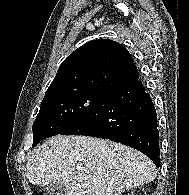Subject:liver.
I'll return each mask as SVG.
<instances>
[{"mask_svg":"<svg viewBox=\"0 0 189 195\" xmlns=\"http://www.w3.org/2000/svg\"><path fill=\"white\" fill-rule=\"evenodd\" d=\"M25 175L38 186L62 183L66 195H120L153 181L157 170L147 156L123 144L57 135L31 153Z\"/></svg>","mask_w":189,"mask_h":195,"instance_id":"liver-1","label":"liver"}]
</instances>
